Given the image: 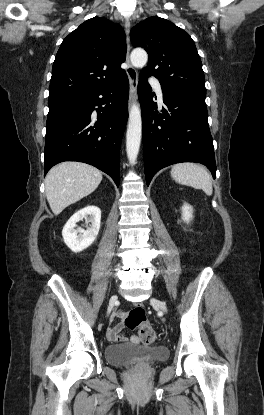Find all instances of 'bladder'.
Masks as SVG:
<instances>
[{"mask_svg": "<svg viewBox=\"0 0 264 415\" xmlns=\"http://www.w3.org/2000/svg\"><path fill=\"white\" fill-rule=\"evenodd\" d=\"M104 357L112 365L127 367L137 359L147 363L166 361L169 352L162 346H140L134 343H126L105 347Z\"/></svg>", "mask_w": 264, "mask_h": 415, "instance_id": "31cf9c89", "label": "bladder"}]
</instances>
